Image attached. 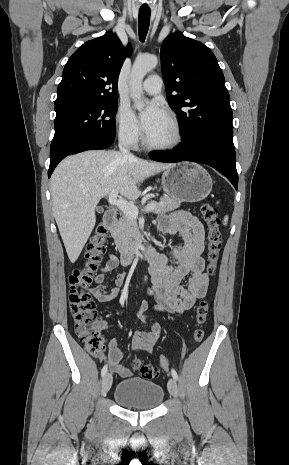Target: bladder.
<instances>
[{
    "instance_id": "1",
    "label": "bladder",
    "mask_w": 289,
    "mask_h": 465,
    "mask_svg": "<svg viewBox=\"0 0 289 465\" xmlns=\"http://www.w3.org/2000/svg\"><path fill=\"white\" fill-rule=\"evenodd\" d=\"M164 398L161 385L132 377L120 381L114 390V399L128 409L151 410L158 407Z\"/></svg>"
}]
</instances>
